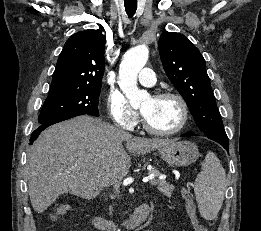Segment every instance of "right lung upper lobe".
<instances>
[{"mask_svg":"<svg viewBox=\"0 0 261 231\" xmlns=\"http://www.w3.org/2000/svg\"><path fill=\"white\" fill-rule=\"evenodd\" d=\"M105 42L100 30L73 34L59 55L50 89L101 87Z\"/></svg>","mask_w":261,"mask_h":231,"instance_id":"obj_1","label":"right lung upper lobe"}]
</instances>
